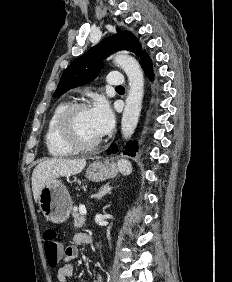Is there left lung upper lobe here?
<instances>
[{"instance_id":"1","label":"left lung upper lobe","mask_w":232,"mask_h":282,"mask_svg":"<svg viewBox=\"0 0 232 282\" xmlns=\"http://www.w3.org/2000/svg\"><path fill=\"white\" fill-rule=\"evenodd\" d=\"M119 50L133 52L139 57L143 53L141 44L131 32L117 29V34L92 47L66 68L53 97L94 80L102 69V59Z\"/></svg>"}]
</instances>
